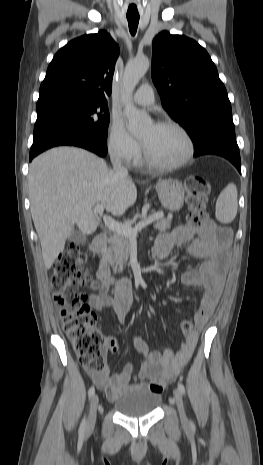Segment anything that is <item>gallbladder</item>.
<instances>
[{"instance_id": "gallbladder-1", "label": "gallbladder", "mask_w": 263, "mask_h": 465, "mask_svg": "<svg viewBox=\"0 0 263 465\" xmlns=\"http://www.w3.org/2000/svg\"><path fill=\"white\" fill-rule=\"evenodd\" d=\"M68 238L69 240H72L78 243H84L86 242V239H87L83 233L76 231V230H73Z\"/></svg>"}]
</instances>
